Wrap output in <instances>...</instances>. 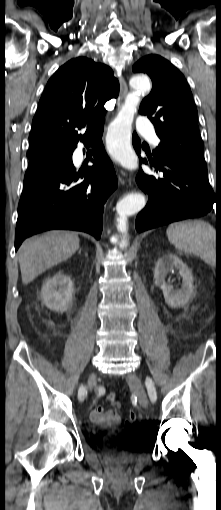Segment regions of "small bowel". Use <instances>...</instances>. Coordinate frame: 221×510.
Masks as SVG:
<instances>
[{
  "mask_svg": "<svg viewBox=\"0 0 221 510\" xmlns=\"http://www.w3.org/2000/svg\"><path fill=\"white\" fill-rule=\"evenodd\" d=\"M90 419L93 423L103 427H114L119 425L122 421V417L118 412L105 410L100 405L92 408Z\"/></svg>",
  "mask_w": 221,
  "mask_h": 510,
  "instance_id": "obj_1",
  "label": "small bowel"
}]
</instances>
